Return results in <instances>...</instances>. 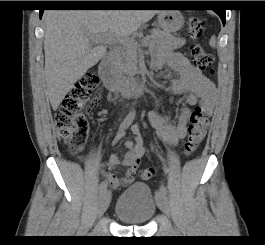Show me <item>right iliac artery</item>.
I'll use <instances>...</instances> for the list:
<instances>
[{
	"mask_svg": "<svg viewBox=\"0 0 265 245\" xmlns=\"http://www.w3.org/2000/svg\"><path fill=\"white\" fill-rule=\"evenodd\" d=\"M135 116V112L131 111L125 118L124 120L121 122L119 129L120 130H124L126 129L133 121ZM107 189V183L106 181H102L99 185V193L102 194L105 190Z\"/></svg>",
	"mask_w": 265,
	"mask_h": 245,
	"instance_id": "1",
	"label": "right iliac artery"
}]
</instances>
